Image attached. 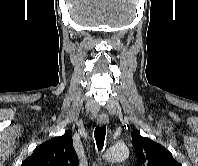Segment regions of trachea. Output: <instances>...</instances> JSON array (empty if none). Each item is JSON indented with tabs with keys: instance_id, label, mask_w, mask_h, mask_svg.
<instances>
[{
	"instance_id": "1",
	"label": "trachea",
	"mask_w": 198,
	"mask_h": 166,
	"mask_svg": "<svg viewBox=\"0 0 198 166\" xmlns=\"http://www.w3.org/2000/svg\"><path fill=\"white\" fill-rule=\"evenodd\" d=\"M105 135H106V125H103L101 127H96L94 131V138H95L98 150L103 149Z\"/></svg>"
}]
</instances>
